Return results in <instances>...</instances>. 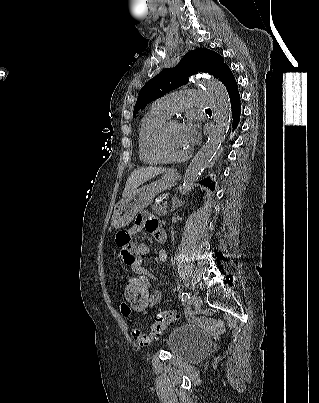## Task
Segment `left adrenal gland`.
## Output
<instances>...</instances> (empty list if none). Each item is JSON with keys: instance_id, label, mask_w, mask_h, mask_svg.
I'll use <instances>...</instances> for the list:
<instances>
[{"instance_id": "a2214340", "label": "left adrenal gland", "mask_w": 319, "mask_h": 403, "mask_svg": "<svg viewBox=\"0 0 319 403\" xmlns=\"http://www.w3.org/2000/svg\"><path fill=\"white\" fill-rule=\"evenodd\" d=\"M183 202L178 200L177 198L172 199V207H171V212L175 211L178 207L183 206Z\"/></svg>"}]
</instances>
